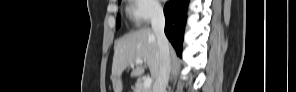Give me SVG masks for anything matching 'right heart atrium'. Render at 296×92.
<instances>
[{
  "instance_id": "obj_1",
  "label": "right heart atrium",
  "mask_w": 296,
  "mask_h": 92,
  "mask_svg": "<svg viewBox=\"0 0 296 92\" xmlns=\"http://www.w3.org/2000/svg\"><path fill=\"white\" fill-rule=\"evenodd\" d=\"M128 13L137 24L143 25L158 18L162 7L158 1L134 0L130 3Z\"/></svg>"
}]
</instances>
